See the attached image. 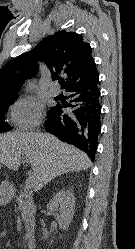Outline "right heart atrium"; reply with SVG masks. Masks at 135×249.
I'll return each mask as SVG.
<instances>
[{
    "instance_id": "d8ad5b80",
    "label": "right heart atrium",
    "mask_w": 135,
    "mask_h": 249,
    "mask_svg": "<svg viewBox=\"0 0 135 249\" xmlns=\"http://www.w3.org/2000/svg\"><path fill=\"white\" fill-rule=\"evenodd\" d=\"M11 120L20 131L37 128L43 119L42 105L32 97H21L10 106Z\"/></svg>"
}]
</instances>
